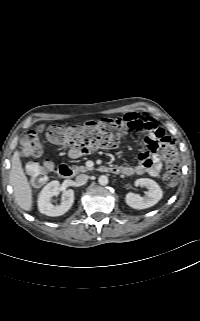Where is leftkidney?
Masks as SVG:
<instances>
[{
    "instance_id": "left-kidney-1",
    "label": "left kidney",
    "mask_w": 200,
    "mask_h": 321,
    "mask_svg": "<svg viewBox=\"0 0 200 321\" xmlns=\"http://www.w3.org/2000/svg\"><path fill=\"white\" fill-rule=\"evenodd\" d=\"M135 185L147 188L144 197L139 194L128 193L125 201L128 206L134 209H146L154 206L163 197V191L160 186L152 179L140 178L135 181Z\"/></svg>"
}]
</instances>
